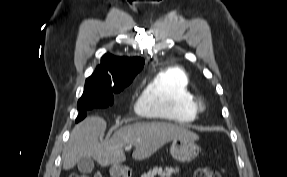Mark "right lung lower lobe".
Returning <instances> with one entry per match:
<instances>
[{"label":"right lung lower lobe","instance_id":"right-lung-lower-lobe-1","mask_svg":"<svg viewBox=\"0 0 287 177\" xmlns=\"http://www.w3.org/2000/svg\"><path fill=\"white\" fill-rule=\"evenodd\" d=\"M81 115L85 117L86 116V112H82Z\"/></svg>","mask_w":287,"mask_h":177}]
</instances>
